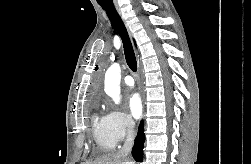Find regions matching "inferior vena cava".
Wrapping results in <instances>:
<instances>
[{"label":"inferior vena cava","mask_w":251,"mask_h":164,"mask_svg":"<svg viewBox=\"0 0 251 164\" xmlns=\"http://www.w3.org/2000/svg\"><path fill=\"white\" fill-rule=\"evenodd\" d=\"M134 127H135L134 121L131 118H129L127 121L128 130H127L126 140L124 142L122 149L119 151V154L125 158L129 155V153L132 150L134 142Z\"/></svg>","instance_id":"602c4592"}]
</instances>
